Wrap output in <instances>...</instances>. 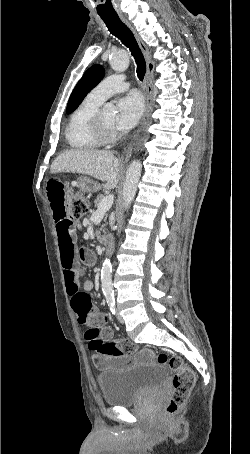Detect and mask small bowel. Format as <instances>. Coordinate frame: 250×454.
Segmentation results:
<instances>
[{"label": "small bowel", "mask_w": 250, "mask_h": 454, "mask_svg": "<svg viewBox=\"0 0 250 454\" xmlns=\"http://www.w3.org/2000/svg\"><path fill=\"white\" fill-rule=\"evenodd\" d=\"M46 192L56 224L64 280L72 309L80 323H84L90 317L106 318L89 298V293L94 289V283L91 280L82 281L80 266L93 265L95 255L89 249H78L76 246L77 230L80 224L68 217L67 213L72 186L69 182L52 178L47 183ZM93 362L101 370L118 364L115 359L100 354L93 356Z\"/></svg>", "instance_id": "small-bowel-1"}]
</instances>
